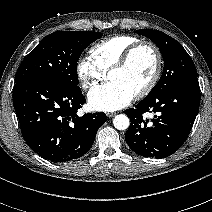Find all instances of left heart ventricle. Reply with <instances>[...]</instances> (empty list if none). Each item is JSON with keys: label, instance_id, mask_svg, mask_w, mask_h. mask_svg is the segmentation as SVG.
<instances>
[{"label": "left heart ventricle", "instance_id": "left-heart-ventricle-1", "mask_svg": "<svg viewBox=\"0 0 212 212\" xmlns=\"http://www.w3.org/2000/svg\"><path fill=\"white\" fill-rule=\"evenodd\" d=\"M155 64L153 52L148 48H142L134 54L125 69L111 73L109 80L121 84L133 94H136L152 77Z\"/></svg>", "mask_w": 212, "mask_h": 212}]
</instances>
